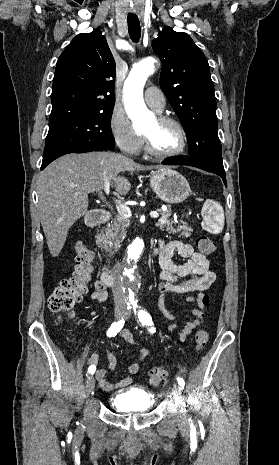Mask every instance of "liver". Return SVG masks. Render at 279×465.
Wrapping results in <instances>:
<instances>
[{"instance_id": "1", "label": "liver", "mask_w": 279, "mask_h": 465, "mask_svg": "<svg viewBox=\"0 0 279 465\" xmlns=\"http://www.w3.org/2000/svg\"><path fill=\"white\" fill-rule=\"evenodd\" d=\"M161 169L144 166L123 155L110 152L68 154L49 164L37 181V209L53 257L61 252L71 226L88 213V194L112 181L120 195L131 184L120 172Z\"/></svg>"}]
</instances>
